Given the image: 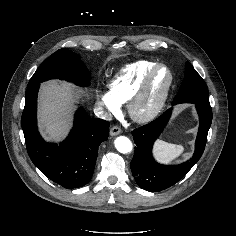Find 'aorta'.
I'll return each instance as SVG.
<instances>
[{
    "instance_id": "aorta-1",
    "label": "aorta",
    "mask_w": 236,
    "mask_h": 236,
    "mask_svg": "<svg viewBox=\"0 0 236 236\" xmlns=\"http://www.w3.org/2000/svg\"><path fill=\"white\" fill-rule=\"evenodd\" d=\"M116 149L123 154L129 153L132 151L133 145L129 138L125 136H119L114 141Z\"/></svg>"
}]
</instances>
